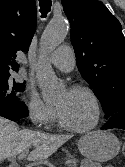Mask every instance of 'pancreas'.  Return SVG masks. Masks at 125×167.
Here are the masks:
<instances>
[{
  "label": "pancreas",
  "mask_w": 125,
  "mask_h": 167,
  "mask_svg": "<svg viewBox=\"0 0 125 167\" xmlns=\"http://www.w3.org/2000/svg\"><path fill=\"white\" fill-rule=\"evenodd\" d=\"M67 160L71 161L69 167H77L78 160H76L72 156H67Z\"/></svg>",
  "instance_id": "obj_1"
}]
</instances>
